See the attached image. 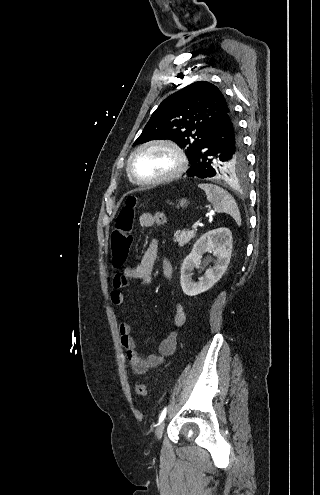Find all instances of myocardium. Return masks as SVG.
<instances>
[{"label":"myocardium","instance_id":"f54148a6","mask_svg":"<svg viewBox=\"0 0 320 495\" xmlns=\"http://www.w3.org/2000/svg\"><path fill=\"white\" fill-rule=\"evenodd\" d=\"M152 147H165L171 150L176 157V161H177L176 167L172 172L164 176H161L159 178L141 179L137 177L132 170L133 159L139 152ZM186 168H187V158L183 149L176 142L169 139H153L145 143H142L130 153L126 165V171L129 178L138 185H146V186L161 185L172 182L177 178H179L185 172Z\"/></svg>","mask_w":320,"mask_h":495}]
</instances>
